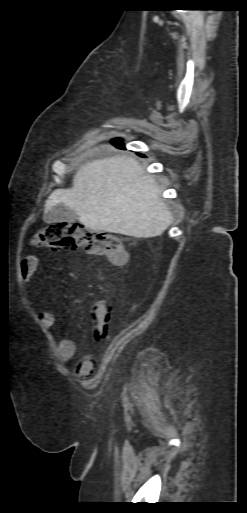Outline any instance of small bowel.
Segmentation results:
<instances>
[{"label":"small bowel","mask_w":247,"mask_h":513,"mask_svg":"<svg viewBox=\"0 0 247 513\" xmlns=\"http://www.w3.org/2000/svg\"><path fill=\"white\" fill-rule=\"evenodd\" d=\"M38 266L36 257H28L21 261L20 278L27 283L35 274ZM90 316L92 317L91 311ZM38 318L44 328L50 330L56 322L55 315L48 310H44L38 314ZM56 357L61 363L71 360L76 354V344L70 338H63L56 346ZM93 363L91 361L81 360L76 366V374L79 377H87L92 372Z\"/></svg>","instance_id":"obj_1"}]
</instances>
